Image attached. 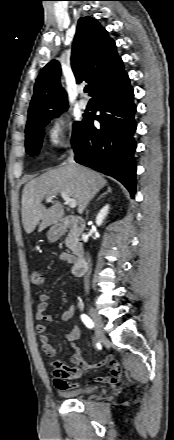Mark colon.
Masks as SVG:
<instances>
[{
  "label": "colon",
  "instance_id": "5ec220e1",
  "mask_svg": "<svg viewBox=\"0 0 174 440\" xmlns=\"http://www.w3.org/2000/svg\"><path fill=\"white\" fill-rule=\"evenodd\" d=\"M44 273L41 270L35 269L31 271L30 283L34 287L41 286L44 283Z\"/></svg>",
  "mask_w": 174,
  "mask_h": 440
}]
</instances>
